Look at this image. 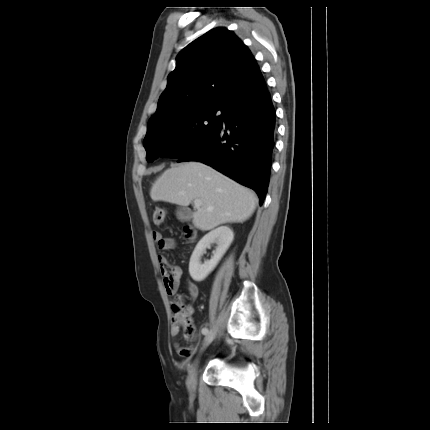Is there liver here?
Returning a JSON list of instances; mask_svg holds the SVG:
<instances>
[{
  "label": "liver",
  "instance_id": "liver-1",
  "mask_svg": "<svg viewBox=\"0 0 430 430\" xmlns=\"http://www.w3.org/2000/svg\"><path fill=\"white\" fill-rule=\"evenodd\" d=\"M153 201L188 206L200 199L202 205L193 213L194 225L208 231L221 224L244 222L254 212L257 197L209 165L187 162L171 167L152 184Z\"/></svg>",
  "mask_w": 430,
  "mask_h": 430
}]
</instances>
